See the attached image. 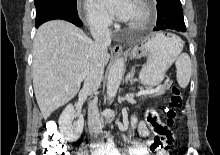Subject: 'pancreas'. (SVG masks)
<instances>
[{
	"instance_id": "cf45deb5",
	"label": "pancreas",
	"mask_w": 220,
	"mask_h": 155,
	"mask_svg": "<svg viewBox=\"0 0 220 155\" xmlns=\"http://www.w3.org/2000/svg\"><path fill=\"white\" fill-rule=\"evenodd\" d=\"M170 86H171V83H168V84L164 85L158 91L154 92L153 96L157 97V96L163 95L166 92V90H168L170 88Z\"/></svg>"
}]
</instances>
